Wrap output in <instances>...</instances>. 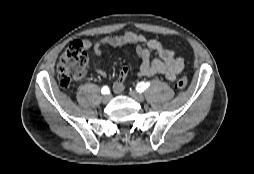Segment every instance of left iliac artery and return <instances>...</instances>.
I'll return each instance as SVG.
<instances>
[{"label":"left iliac artery","mask_w":254,"mask_h":174,"mask_svg":"<svg viewBox=\"0 0 254 174\" xmlns=\"http://www.w3.org/2000/svg\"><path fill=\"white\" fill-rule=\"evenodd\" d=\"M149 86H150V82H140V83L137 84L136 90H137L138 92H143V91L146 90Z\"/></svg>","instance_id":"left-iliac-artery-1"}]
</instances>
